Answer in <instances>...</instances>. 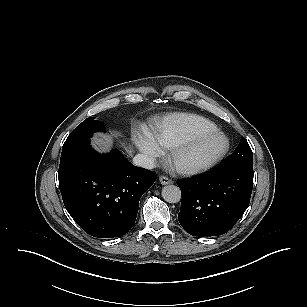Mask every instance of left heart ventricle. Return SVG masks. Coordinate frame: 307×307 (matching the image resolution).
I'll return each mask as SVG.
<instances>
[{
    "label": "left heart ventricle",
    "mask_w": 307,
    "mask_h": 307,
    "mask_svg": "<svg viewBox=\"0 0 307 307\" xmlns=\"http://www.w3.org/2000/svg\"><path fill=\"white\" fill-rule=\"evenodd\" d=\"M222 145V141L220 139H212L201 144L194 152L189 154L186 159L194 160L204 156L211 155L216 150H218Z\"/></svg>",
    "instance_id": "b2bd125f"
}]
</instances>
